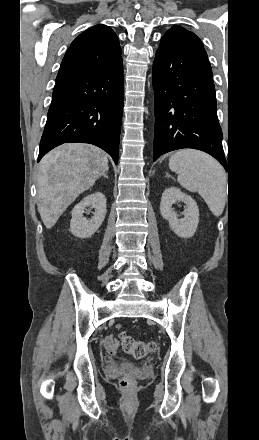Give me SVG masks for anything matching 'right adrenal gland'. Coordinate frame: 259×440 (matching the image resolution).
Segmentation results:
<instances>
[{
    "instance_id": "2a0ac1e0",
    "label": "right adrenal gland",
    "mask_w": 259,
    "mask_h": 440,
    "mask_svg": "<svg viewBox=\"0 0 259 440\" xmlns=\"http://www.w3.org/2000/svg\"><path fill=\"white\" fill-rule=\"evenodd\" d=\"M108 171L106 173L103 174V177L108 179V175H107Z\"/></svg>"
}]
</instances>
